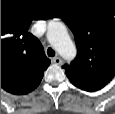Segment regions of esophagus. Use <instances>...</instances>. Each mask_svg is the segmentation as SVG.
<instances>
[{
	"instance_id": "34e87169",
	"label": "esophagus",
	"mask_w": 115,
	"mask_h": 114,
	"mask_svg": "<svg viewBox=\"0 0 115 114\" xmlns=\"http://www.w3.org/2000/svg\"><path fill=\"white\" fill-rule=\"evenodd\" d=\"M52 62L57 65H61L63 63L62 59L60 57H55L52 59Z\"/></svg>"
}]
</instances>
